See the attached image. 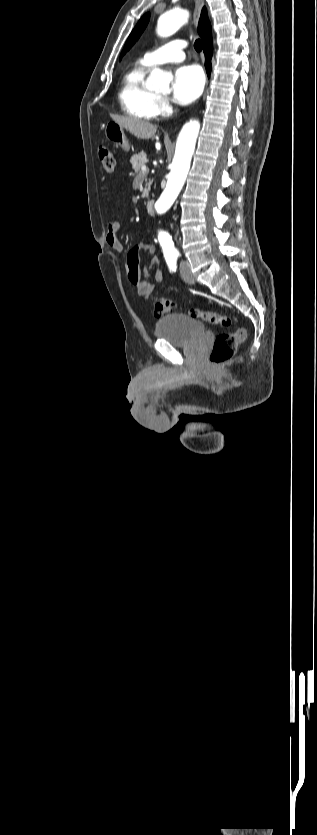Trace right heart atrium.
I'll use <instances>...</instances> for the list:
<instances>
[{
  "label": "right heart atrium",
  "mask_w": 317,
  "mask_h": 835,
  "mask_svg": "<svg viewBox=\"0 0 317 835\" xmlns=\"http://www.w3.org/2000/svg\"><path fill=\"white\" fill-rule=\"evenodd\" d=\"M172 110L171 104L166 97L159 96L156 104V116H165Z\"/></svg>",
  "instance_id": "obj_1"
}]
</instances>
